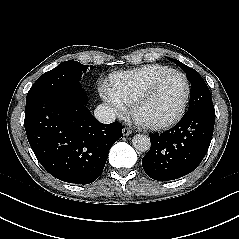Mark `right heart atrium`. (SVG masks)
<instances>
[{"label":"right heart atrium","instance_id":"d8ad5b80","mask_svg":"<svg viewBox=\"0 0 239 239\" xmlns=\"http://www.w3.org/2000/svg\"><path fill=\"white\" fill-rule=\"evenodd\" d=\"M100 93L112 113L119 117L126 114V104L117 96L111 86L103 84L100 87Z\"/></svg>","mask_w":239,"mask_h":239}]
</instances>
